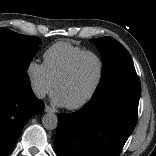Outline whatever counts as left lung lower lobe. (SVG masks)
Instances as JSON below:
<instances>
[{"instance_id": "obj_1", "label": "left lung lower lobe", "mask_w": 156, "mask_h": 156, "mask_svg": "<svg viewBox=\"0 0 156 156\" xmlns=\"http://www.w3.org/2000/svg\"><path fill=\"white\" fill-rule=\"evenodd\" d=\"M140 94L111 91L58 115V156H118L135 128Z\"/></svg>"}]
</instances>
